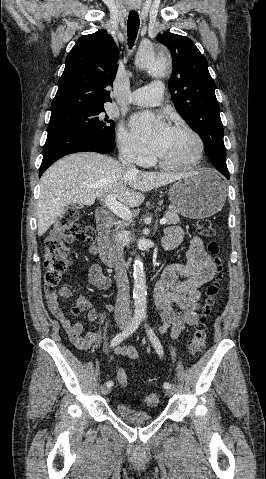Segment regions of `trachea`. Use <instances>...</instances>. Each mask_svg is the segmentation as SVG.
<instances>
[{
    "mask_svg": "<svg viewBox=\"0 0 266 479\" xmlns=\"http://www.w3.org/2000/svg\"><path fill=\"white\" fill-rule=\"evenodd\" d=\"M140 25L139 15L136 11H130L127 22L128 45L130 48L134 46Z\"/></svg>",
    "mask_w": 266,
    "mask_h": 479,
    "instance_id": "trachea-1",
    "label": "trachea"
}]
</instances>
